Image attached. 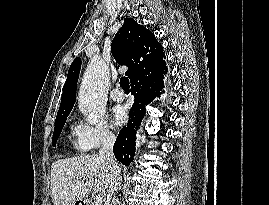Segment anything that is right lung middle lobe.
<instances>
[{
  "mask_svg": "<svg viewBox=\"0 0 269 205\" xmlns=\"http://www.w3.org/2000/svg\"><path fill=\"white\" fill-rule=\"evenodd\" d=\"M67 116L68 115L60 117V118H57L56 121H55V128H54L53 138H52V145L53 146H56L57 139L60 136L62 128H63V126H64V124L66 122Z\"/></svg>",
  "mask_w": 269,
  "mask_h": 205,
  "instance_id": "dd1d6c3e",
  "label": "right lung middle lobe"
}]
</instances>
